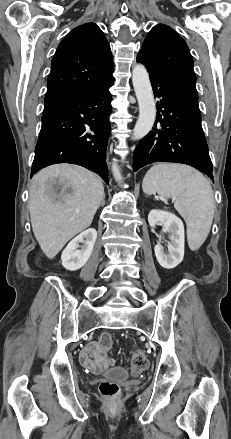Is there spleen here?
<instances>
[{
    "label": "spleen",
    "instance_id": "3e777b00",
    "mask_svg": "<svg viewBox=\"0 0 231 439\" xmlns=\"http://www.w3.org/2000/svg\"><path fill=\"white\" fill-rule=\"evenodd\" d=\"M143 191L174 198V207L187 225L191 250L206 240L214 217L215 203L210 182L197 170L186 165L157 164L145 175Z\"/></svg>",
    "mask_w": 231,
    "mask_h": 439
}]
</instances>
